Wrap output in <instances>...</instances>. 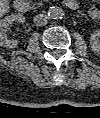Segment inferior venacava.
Wrapping results in <instances>:
<instances>
[{
    "label": "inferior vena cava",
    "mask_w": 100,
    "mask_h": 118,
    "mask_svg": "<svg viewBox=\"0 0 100 118\" xmlns=\"http://www.w3.org/2000/svg\"><path fill=\"white\" fill-rule=\"evenodd\" d=\"M48 22V17L44 14H37L35 17H34V23L37 25V26H44L46 25Z\"/></svg>",
    "instance_id": "1"
}]
</instances>
